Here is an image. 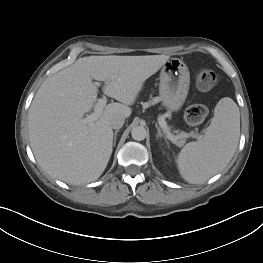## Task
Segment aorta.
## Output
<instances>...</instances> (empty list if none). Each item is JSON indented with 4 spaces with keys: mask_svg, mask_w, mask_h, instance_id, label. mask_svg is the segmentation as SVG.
Instances as JSON below:
<instances>
[{
    "mask_svg": "<svg viewBox=\"0 0 263 263\" xmlns=\"http://www.w3.org/2000/svg\"><path fill=\"white\" fill-rule=\"evenodd\" d=\"M131 136L136 141H142L147 136V131L143 126H135L131 130Z\"/></svg>",
    "mask_w": 263,
    "mask_h": 263,
    "instance_id": "obj_1",
    "label": "aorta"
}]
</instances>
